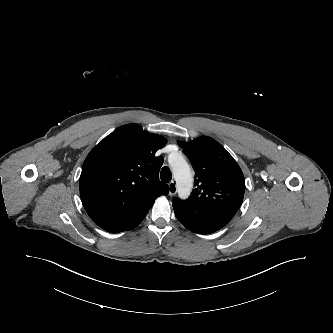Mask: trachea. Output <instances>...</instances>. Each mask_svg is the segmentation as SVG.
I'll return each instance as SVG.
<instances>
[{
    "label": "trachea",
    "mask_w": 333,
    "mask_h": 333,
    "mask_svg": "<svg viewBox=\"0 0 333 333\" xmlns=\"http://www.w3.org/2000/svg\"><path fill=\"white\" fill-rule=\"evenodd\" d=\"M160 178L165 183H168V182L171 181V179H172V173H171L170 169L167 166H164L161 169Z\"/></svg>",
    "instance_id": "obj_1"
}]
</instances>
